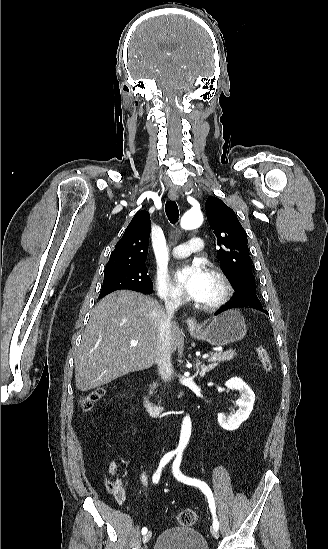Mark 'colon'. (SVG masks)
I'll return each mask as SVG.
<instances>
[{
	"mask_svg": "<svg viewBox=\"0 0 328 549\" xmlns=\"http://www.w3.org/2000/svg\"><path fill=\"white\" fill-rule=\"evenodd\" d=\"M255 353L263 370L265 372H270L272 370V360L268 350L259 345L255 347ZM104 394V388H97L90 391L81 400L82 408L86 411L90 410L104 396ZM176 520L182 526H191L198 521V514L191 509H185L177 514Z\"/></svg>",
	"mask_w": 328,
	"mask_h": 549,
	"instance_id": "colon-1",
	"label": "colon"
}]
</instances>
